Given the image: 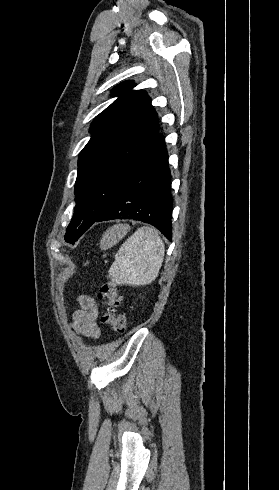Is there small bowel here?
Returning a JSON list of instances; mask_svg holds the SVG:
<instances>
[{"label":"small bowel","mask_w":279,"mask_h":490,"mask_svg":"<svg viewBox=\"0 0 279 490\" xmlns=\"http://www.w3.org/2000/svg\"><path fill=\"white\" fill-rule=\"evenodd\" d=\"M80 308L72 315V326L81 336L98 339L101 329L97 323L99 306L97 301L89 295H80L77 298Z\"/></svg>","instance_id":"1"}]
</instances>
